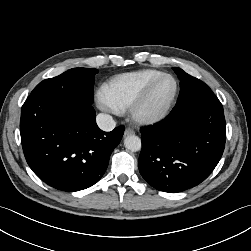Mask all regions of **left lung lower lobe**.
I'll list each match as a JSON object with an SVG mask.
<instances>
[{
  "instance_id": "obj_1",
  "label": "left lung lower lobe",
  "mask_w": 251,
  "mask_h": 251,
  "mask_svg": "<svg viewBox=\"0 0 251 251\" xmlns=\"http://www.w3.org/2000/svg\"><path fill=\"white\" fill-rule=\"evenodd\" d=\"M139 171L154 188L181 192L204 181L224 151L226 123L221 102L206 84L179 94L170 114L141 128Z\"/></svg>"
}]
</instances>
